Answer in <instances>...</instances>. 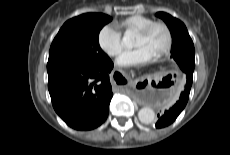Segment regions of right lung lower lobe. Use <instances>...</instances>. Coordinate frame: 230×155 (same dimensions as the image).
Returning a JSON list of instances; mask_svg holds the SVG:
<instances>
[{
	"instance_id": "98d812e1",
	"label": "right lung lower lobe",
	"mask_w": 230,
	"mask_h": 155,
	"mask_svg": "<svg viewBox=\"0 0 230 155\" xmlns=\"http://www.w3.org/2000/svg\"><path fill=\"white\" fill-rule=\"evenodd\" d=\"M111 60L99 66H61L48 72V89L56 113L76 130L101 125L109 113Z\"/></svg>"
}]
</instances>
